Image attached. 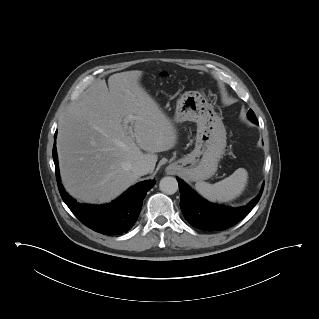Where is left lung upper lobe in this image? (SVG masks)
<instances>
[{"mask_svg": "<svg viewBox=\"0 0 319 319\" xmlns=\"http://www.w3.org/2000/svg\"><path fill=\"white\" fill-rule=\"evenodd\" d=\"M247 116L252 122H257V118L252 110L248 111Z\"/></svg>", "mask_w": 319, "mask_h": 319, "instance_id": "left-lung-upper-lobe-1", "label": "left lung upper lobe"}]
</instances>
